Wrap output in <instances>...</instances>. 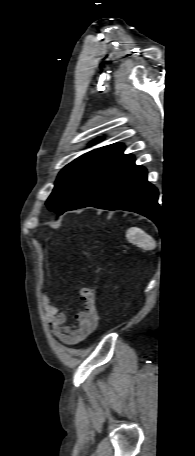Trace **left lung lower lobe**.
I'll return each mask as SVG.
<instances>
[{
    "mask_svg": "<svg viewBox=\"0 0 195 456\" xmlns=\"http://www.w3.org/2000/svg\"><path fill=\"white\" fill-rule=\"evenodd\" d=\"M158 190L147 181V171L125 155L100 189L79 208L126 210L155 221L159 210Z\"/></svg>",
    "mask_w": 195,
    "mask_h": 456,
    "instance_id": "left-lung-lower-lobe-1",
    "label": "left lung lower lobe"
}]
</instances>
